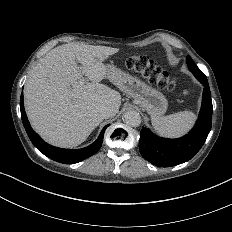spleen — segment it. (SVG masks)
<instances>
[{"instance_id": "spleen-1", "label": "spleen", "mask_w": 232, "mask_h": 232, "mask_svg": "<svg viewBox=\"0 0 232 232\" xmlns=\"http://www.w3.org/2000/svg\"><path fill=\"white\" fill-rule=\"evenodd\" d=\"M155 129L165 135L177 136L185 132L195 116L192 112L179 111L165 116H151Z\"/></svg>"}]
</instances>
